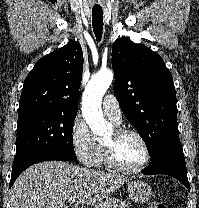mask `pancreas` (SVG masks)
<instances>
[{
  "label": "pancreas",
  "instance_id": "obj_1",
  "mask_svg": "<svg viewBox=\"0 0 199 208\" xmlns=\"http://www.w3.org/2000/svg\"><path fill=\"white\" fill-rule=\"evenodd\" d=\"M128 201H119L118 199H107L104 202L96 205L95 208H129Z\"/></svg>",
  "mask_w": 199,
  "mask_h": 208
}]
</instances>
